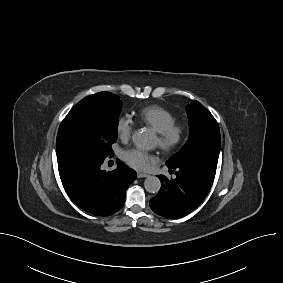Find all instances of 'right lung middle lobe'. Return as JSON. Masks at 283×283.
Returning <instances> with one entry per match:
<instances>
[{
  "instance_id": "obj_1",
  "label": "right lung middle lobe",
  "mask_w": 283,
  "mask_h": 283,
  "mask_svg": "<svg viewBox=\"0 0 283 283\" xmlns=\"http://www.w3.org/2000/svg\"><path fill=\"white\" fill-rule=\"evenodd\" d=\"M121 109L120 97L110 92H99L79 101L59 127L57 161L74 154L98 158L112 155Z\"/></svg>"
}]
</instances>
